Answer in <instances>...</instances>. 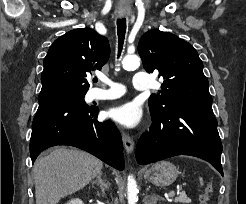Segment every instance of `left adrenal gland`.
<instances>
[{"label": "left adrenal gland", "instance_id": "left-adrenal-gland-1", "mask_svg": "<svg viewBox=\"0 0 246 204\" xmlns=\"http://www.w3.org/2000/svg\"><path fill=\"white\" fill-rule=\"evenodd\" d=\"M151 199H152V201H148L147 200V197H145V204H153L154 203V201H156V200H158V199H163L162 197H160L159 195H153L152 197H151Z\"/></svg>", "mask_w": 246, "mask_h": 204}]
</instances>
